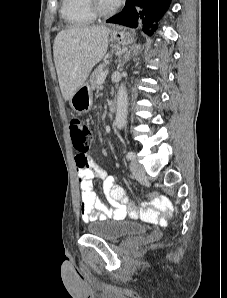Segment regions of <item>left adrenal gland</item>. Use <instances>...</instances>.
Returning <instances> with one entry per match:
<instances>
[{
    "label": "left adrenal gland",
    "mask_w": 227,
    "mask_h": 298,
    "mask_svg": "<svg viewBox=\"0 0 227 298\" xmlns=\"http://www.w3.org/2000/svg\"><path fill=\"white\" fill-rule=\"evenodd\" d=\"M139 45H134L130 48V50L124 55V63L129 61V58L131 56V54L133 56L138 55V49H139Z\"/></svg>",
    "instance_id": "a2214340"
}]
</instances>
